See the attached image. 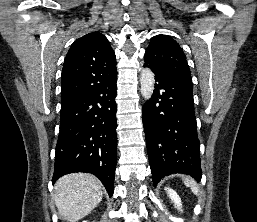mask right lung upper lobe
Masks as SVG:
<instances>
[{
  "instance_id": "1",
  "label": "right lung upper lobe",
  "mask_w": 257,
  "mask_h": 222,
  "mask_svg": "<svg viewBox=\"0 0 257 222\" xmlns=\"http://www.w3.org/2000/svg\"><path fill=\"white\" fill-rule=\"evenodd\" d=\"M115 72V53L103 34L92 32L77 39L64 60L61 103L93 90Z\"/></svg>"
}]
</instances>
